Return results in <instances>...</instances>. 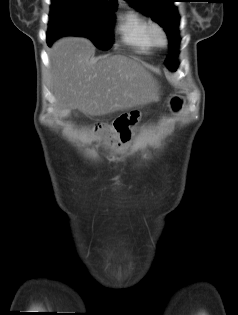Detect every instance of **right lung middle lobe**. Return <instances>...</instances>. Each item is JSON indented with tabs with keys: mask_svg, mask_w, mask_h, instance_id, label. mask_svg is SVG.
<instances>
[{
	"mask_svg": "<svg viewBox=\"0 0 238 315\" xmlns=\"http://www.w3.org/2000/svg\"><path fill=\"white\" fill-rule=\"evenodd\" d=\"M115 7L86 0H52L47 43L65 35L84 36L95 46L107 50L113 42Z\"/></svg>",
	"mask_w": 238,
	"mask_h": 315,
	"instance_id": "1",
	"label": "right lung middle lobe"
}]
</instances>
